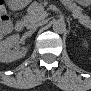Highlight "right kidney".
<instances>
[{"label":"right kidney","mask_w":91,"mask_h":91,"mask_svg":"<svg viewBox=\"0 0 91 91\" xmlns=\"http://www.w3.org/2000/svg\"><path fill=\"white\" fill-rule=\"evenodd\" d=\"M18 44H19L18 34L9 36L5 40L1 41L0 42V61L3 63H9L24 57L27 53L28 48L23 50H18L16 49Z\"/></svg>","instance_id":"right-kidney-1"}]
</instances>
